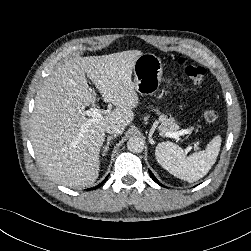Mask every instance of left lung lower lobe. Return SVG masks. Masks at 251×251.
Returning a JSON list of instances; mask_svg holds the SVG:
<instances>
[{
	"mask_svg": "<svg viewBox=\"0 0 251 251\" xmlns=\"http://www.w3.org/2000/svg\"><path fill=\"white\" fill-rule=\"evenodd\" d=\"M149 173H150L151 178H152L157 184L161 185V184L159 183V181L156 179V177L153 175V173H152L150 170H149Z\"/></svg>",
	"mask_w": 251,
	"mask_h": 251,
	"instance_id": "0a47b994",
	"label": "left lung lower lobe"
}]
</instances>
